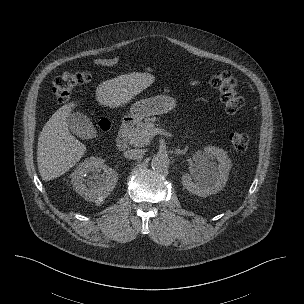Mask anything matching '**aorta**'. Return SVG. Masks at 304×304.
I'll use <instances>...</instances> for the list:
<instances>
[{
    "mask_svg": "<svg viewBox=\"0 0 304 304\" xmlns=\"http://www.w3.org/2000/svg\"><path fill=\"white\" fill-rule=\"evenodd\" d=\"M169 166V158L164 153H157L153 156L151 161V167L153 170L162 172Z\"/></svg>",
    "mask_w": 304,
    "mask_h": 304,
    "instance_id": "1",
    "label": "aorta"
}]
</instances>
